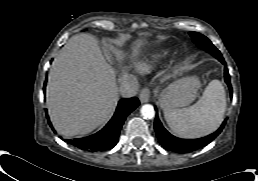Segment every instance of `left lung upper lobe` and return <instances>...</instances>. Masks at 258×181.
Segmentation results:
<instances>
[{
	"mask_svg": "<svg viewBox=\"0 0 258 181\" xmlns=\"http://www.w3.org/2000/svg\"><path fill=\"white\" fill-rule=\"evenodd\" d=\"M190 36L192 37L196 45L199 46L201 49L210 52L218 60L223 59L220 51L211 43V41L207 37L198 32H190Z\"/></svg>",
	"mask_w": 258,
	"mask_h": 181,
	"instance_id": "5c2ea615",
	"label": "left lung upper lobe"
}]
</instances>
